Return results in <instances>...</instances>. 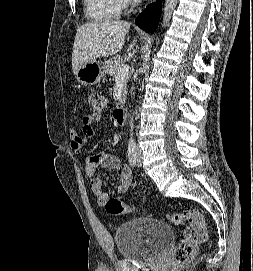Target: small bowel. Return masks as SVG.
Returning a JSON list of instances; mask_svg holds the SVG:
<instances>
[{
	"mask_svg": "<svg viewBox=\"0 0 253 271\" xmlns=\"http://www.w3.org/2000/svg\"><path fill=\"white\" fill-rule=\"evenodd\" d=\"M100 119V114L92 113L82 119L80 130L71 128L69 131L70 148L85 164V173L90 179L91 188L97 198V202L103 205L110 195L102 190V179L97 175L99 169H115L119 175L120 182L114 192L115 195L125 193L132 181L130 168L123 164L119 157L108 152L86 155L83 150L84 143L95 135L93 124Z\"/></svg>",
	"mask_w": 253,
	"mask_h": 271,
	"instance_id": "1",
	"label": "small bowel"
}]
</instances>
